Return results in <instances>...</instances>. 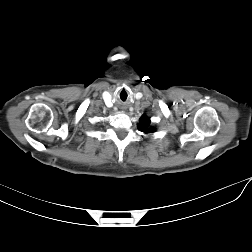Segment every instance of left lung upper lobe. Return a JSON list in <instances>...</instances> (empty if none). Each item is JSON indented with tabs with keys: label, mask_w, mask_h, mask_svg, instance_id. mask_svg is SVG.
<instances>
[{
	"label": "left lung upper lobe",
	"mask_w": 252,
	"mask_h": 252,
	"mask_svg": "<svg viewBox=\"0 0 252 252\" xmlns=\"http://www.w3.org/2000/svg\"><path fill=\"white\" fill-rule=\"evenodd\" d=\"M138 129L142 132H145V133H150V132L154 131V128L150 127L149 117H147L146 115H143L141 117L140 125H139Z\"/></svg>",
	"instance_id": "left-lung-upper-lobe-1"
}]
</instances>
